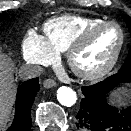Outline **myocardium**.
<instances>
[{
  "label": "myocardium",
  "instance_id": "1",
  "mask_svg": "<svg viewBox=\"0 0 131 131\" xmlns=\"http://www.w3.org/2000/svg\"><path fill=\"white\" fill-rule=\"evenodd\" d=\"M106 26H115L120 32V41L111 59L101 68L95 70H83L76 65V55L88 44L96 32ZM126 35L123 27L116 21H102L86 29L68 48L66 58L71 70L85 80H98L109 74L118 63L125 46Z\"/></svg>",
  "mask_w": 131,
  "mask_h": 131
}]
</instances>
